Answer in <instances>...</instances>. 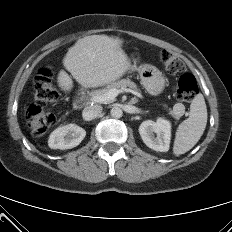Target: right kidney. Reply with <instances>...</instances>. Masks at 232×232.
Returning <instances> with one entry per match:
<instances>
[{
    "label": "right kidney",
    "instance_id": "obj_1",
    "mask_svg": "<svg viewBox=\"0 0 232 232\" xmlns=\"http://www.w3.org/2000/svg\"><path fill=\"white\" fill-rule=\"evenodd\" d=\"M86 136V131L76 124H68L55 129L48 140L51 149H71L78 146Z\"/></svg>",
    "mask_w": 232,
    "mask_h": 232
}]
</instances>
